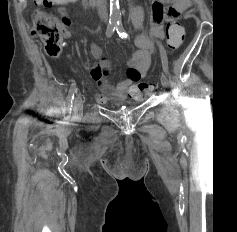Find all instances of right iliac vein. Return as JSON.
I'll return each instance as SVG.
<instances>
[{"instance_id": "right-iliac-vein-1", "label": "right iliac vein", "mask_w": 237, "mask_h": 232, "mask_svg": "<svg viewBox=\"0 0 237 232\" xmlns=\"http://www.w3.org/2000/svg\"><path fill=\"white\" fill-rule=\"evenodd\" d=\"M83 114V100L80 94H77L74 101V118L80 119Z\"/></svg>"}]
</instances>
